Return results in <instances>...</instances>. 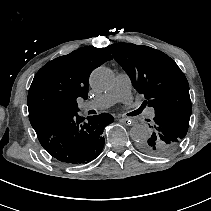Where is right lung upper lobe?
Returning a JSON list of instances; mask_svg holds the SVG:
<instances>
[{
  "mask_svg": "<svg viewBox=\"0 0 211 211\" xmlns=\"http://www.w3.org/2000/svg\"><path fill=\"white\" fill-rule=\"evenodd\" d=\"M112 56L105 48L84 47L44 65L28 93L31 124H40L77 112V98L88 96L91 72Z\"/></svg>",
  "mask_w": 211,
  "mask_h": 211,
  "instance_id": "right-lung-upper-lobe-1",
  "label": "right lung upper lobe"
}]
</instances>
